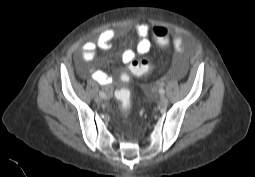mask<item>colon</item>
Listing matches in <instances>:
<instances>
[{"mask_svg": "<svg viewBox=\"0 0 255 177\" xmlns=\"http://www.w3.org/2000/svg\"><path fill=\"white\" fill-rule=\"evenodd\" d=\"M153 36L156 39V46L159 49H166L169 46V31L165 27L157 26L153 29ZM152 69V63L149 59H140L132 61L128 67V72L133 75H141L149 72ZM124 83L130 80L129 74L124 73L121 76ZM116 99L120 102L121 108L127 111L130 108V91L128 88L123 87L119 89L116 94Z\"/></svg>", "mask_w": 255, "mask_h": 177, "instance_id": "colon-1", "label": "colon"}]
</instances>
